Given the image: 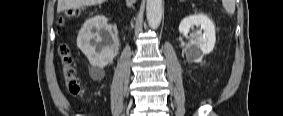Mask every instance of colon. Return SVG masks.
<instances>
[{"instance_id":"colon-1","label":"colon","mask_w":283,"mask_h":116,"mask_svg":"<svg viewBox=\"0 0 283 116\" xmlns=\"http://www.w3.org/2000/svg\"><path fill=\"white\" fill-rule=\"evenodd\" d=\"M77 14V10H69L64 16L60 18V23H64L66 19L74 17ZM58 57L68 92L72 95H78L80 92V84L77 79L76 68L74 66L68 46L61 45L58 48Z\"/></svg>"}]
</instances>
